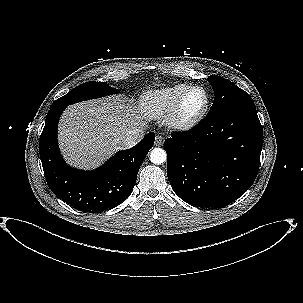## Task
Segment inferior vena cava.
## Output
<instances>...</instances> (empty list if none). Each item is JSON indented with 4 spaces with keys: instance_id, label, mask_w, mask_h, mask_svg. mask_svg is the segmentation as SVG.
I'll list each match as a JSON object with an SVG mask.
<instances>
[{
    "instance_id": "602c4592",
    "label": "inferior vena cava",
    "mask_w": 303,
    "mask_h": 303,
    "mask_svg": "<svg viewBox=\"0 0 303 303\" xmlns=\"http://www.w3.org/2000/svg\"><path fill=\"white\" fill-rule=\"evenodd\" d=\"M144 137L142 129H135L129 131L122 141V149H128L135 146Z\"/></svg>"
}]
</instances>
